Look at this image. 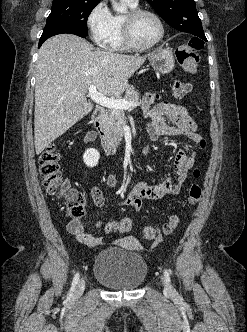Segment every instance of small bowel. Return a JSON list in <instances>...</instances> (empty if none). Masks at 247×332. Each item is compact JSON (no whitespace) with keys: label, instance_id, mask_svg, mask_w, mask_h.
<instances>
[{"label":"small bowel","instance_id":"c3829d8e","mask_svg":"<svg viewBox=\"0 0 247 332\" xmlns=\"http://www.w3.org/2000/svg\"><path fill=\"white\" fill-rule=\"evenodd\" d=\"M157 99L158 95L156 93L148 92L142 101L144 115L149 119L147 132L152 140L155 141L160 137H185L194 143H199L202 140V136L197 132V123L185 107L166 100L156 103ZM94 138L95 134L90 132L86 136V141H92ZM148 152L149 148L145 146L142 149V153L146 158L148 157ZM193 164L194 154L189 156L184 150H178L174 158L175 181H172L170 178L157 184L140 181L126 195L121 197L119 204L138 211L144 199L159 200L167 196L178 195ZM106 184L111 189H115L117 186L116 176L108 174ZM91 199L92 203L97 207H102L104 204V197L98 187L92 188ZM100 225L101 222H97V226ZM67 229L79 242L89 247L102 244L101 237L85 231L80 219L71 220Z\"/></svg>","mask_w":247,"mask_h":332}]
</instances>
